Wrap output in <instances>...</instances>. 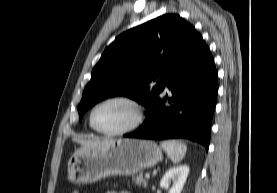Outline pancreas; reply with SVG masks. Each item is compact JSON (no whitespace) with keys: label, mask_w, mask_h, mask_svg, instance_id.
<instances>
[{"label":"pancreas","mask_w":277,"mask_h":193,"mask_svg":"<svg viewBox=\"0 0 277 193\" xmlns=\"http://www.w3.org/2000/svg\"><path fill=\"white\" fill-rule=\"evenodd\" d=\"M133 181H134L137 185H143L144 187H147V185H148L147 179H144L142 174H139V175H137V176H134V177H133Z\"/></svg>","instance_id":"1"}]
</instances>
